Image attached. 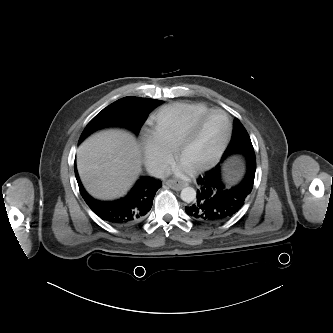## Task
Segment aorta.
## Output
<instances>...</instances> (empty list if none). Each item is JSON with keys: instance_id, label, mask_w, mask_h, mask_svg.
<instances>
[{"instance_id": "1", "label": "aorta", "mask_w": 333, "mask_h": 333, "mask_svg": "<svg viewBox=\"0 0 333 333\" xmlns=\"http://www.w3.org/2000/svg\"><path fill=\"white\" fill-rule=\"evenodd\" d=\"M180 197L184 202L191 203L196 198V191L192 187H185L182 189Z\"/></svg>"}]
</instances>
